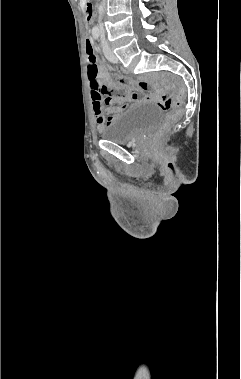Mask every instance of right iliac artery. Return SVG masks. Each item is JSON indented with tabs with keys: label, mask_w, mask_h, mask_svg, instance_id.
<instances>
[{
	"label": "right iliac artery",
	"mask_w": 241,
	"mask_h": 379,
	"mask_svg": "<svg viewBox=\"0 0 241 379\" xmlns=\"http://www.w3.org/2000/svg\"><path fill=\"white\" fill-rule=\"evenodd\" d=\"M92 35H93L94 39H98L99 35H100L99 29L98 28H93Z\"/></svg>",
	"instance_id": "1"
}]
</instances>
